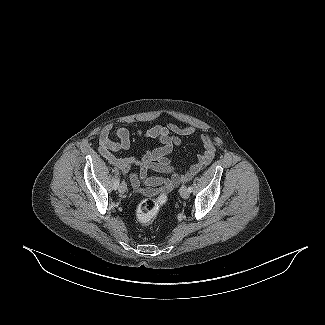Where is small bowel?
I'll return each mask as SVG.
<instances>
[{
	"mask_svg": "<svg viewBox=\"0 0 325 325\" xmlns=\"http://www.w3.org/2000/svg\"><path fill=\"white\" fill-rule=\"evenodd\" d=\"M113 129L112 124L102 128L99 137V152L112 165L128 174L130 184L135 191H141V180L147 184H155V180L147 176L150 168L170 173L172 177L167 184L171 187H177L207 166L215 156V146L212 138L208 134H202L200 141L204 146V151L198 155L197 162L191 165L183 174L176 172L167 155L172 152L175 146L181 144L180 137L193 135L196 129L193 126L182 127L174 123H168L165 126L157 125L146 131H138V136L145 139L158 140L162 144L161 147L146 151L140 158L133 156L119 158L114 155V152L128 150L131 146V135L127 128L118 127L115 130L118 140L115 141L110 137ZM135 166L139 167V173L131 172V169Z\"/></svg>",
	"mask_w": 325,
	"mask_h": 325,
	"instance_id": "1",
	"label": "small bowel"
}]
</instances>
